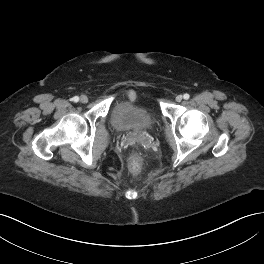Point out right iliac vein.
Returning a JSON list of instances; mask_svg holds the SVG:
<instances>
[{"instance_id": "1", "label": "right iliac vein", "mask_w": 264, "mask_h": 264, "mask_svg": "<svg viewBox=\"0 0 264 264\" xmlns=\"http://www.w3.org/2000/svg\"><path fill=\"white\" fill-rule=\"evenodd\" d=\"M80 102L81 103H87L88 102V97L87 96H85V95H82L81 97H80Z\"/></svg>"}]
</instances>
